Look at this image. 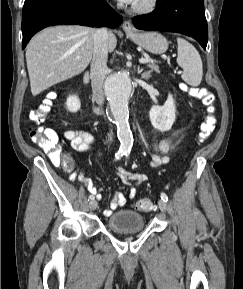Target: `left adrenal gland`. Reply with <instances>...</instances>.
Returning a JSON list of instances; mask_svg holds the SVG:
<instances>
[{"mask_svg": "<svg viewBox=\"0 0 243 289\" xmlns=\"http://www.w3.org/2000/svg\"><path fill=\"white\" fill-rule=\"evenodd\" d=\"M138 70L140 73L143 71V69H140V67L138 68ZM150 74H151V71H145L144 73H142L141 77L144 79H148L150 78Z\"/></svg>", "mask_w": 243, "mask_h": 289, "instance_id": "a2214340", "label": "left adrenal gland"}]
</instances>
